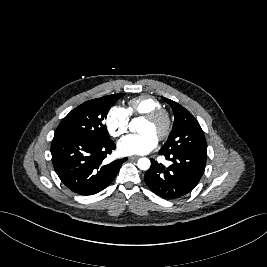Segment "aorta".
Wrapping results in <instances>:
<instances>
[{
    "label": "aorta",
    "mask_w": 267,
    "mask_h": 267,
    "mask_svg": "<svg viewBox=\"0 0 267 267\" xmlns=\"http://www.w3.org/2000/svg\"><path fill=\"white\" fill-rule=\"evenodd\" d=\"M137 121H138V118H135L132 120V122L130 123L131 130L134 129V126L136 125ZM150 165H151L150 160L145 157L140 158L137 162V166L141 170H148L150 168Z\"/></svg>",
    "instance_id": "1"
}]
</instances>
